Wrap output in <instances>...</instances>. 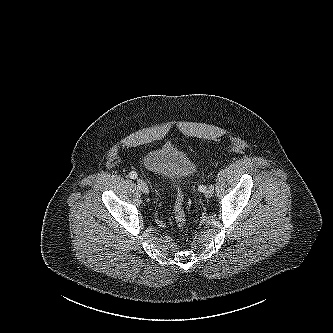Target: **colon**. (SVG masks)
<instances>
[{"mask_svg":"<svg viewBox=\"0 0 333 333\" xmlns=\"http://www.w3.org/2000/svg\"><path fill=\"white\" fill-rule=\"evenodd\" d=\"M174 217L178 227L183 228L186 225L187 217L184 210V196L180 189L177 190L174 206Z\"/></svg>","mask_w":333,"mask_h":333,"instance_id":"obj_1","label":"colon"}]
</instances>
